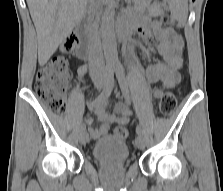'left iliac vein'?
Instances as JSON below:
<instances>
[{"instance_id":"4c4485c4","label":"left iliac vein","mask_w":223,"mask_h":191,"mask_svg":"<svg viewBox=\"0 0 223 191\" xmlns=\"http://www.w3.org/2000/svg\"><path fill=\"white\" fill-rule=\"evenodd\" d=\"M135 146L138 149H144L145 141L142 135L138 134L137 137L135 138Z\"/></svg>"}]
</instances>
